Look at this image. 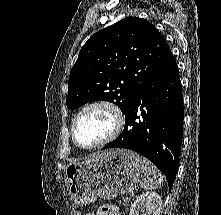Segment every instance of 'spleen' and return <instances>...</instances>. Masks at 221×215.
<instances>
[{"label": "spleen", "instance_id": "obj_1", "mask_svg": "<svg viewBox=\"0 0 221 215\" xmlns=\"http://www.w3.org/2000/svg\"><path fill=\"white\" fill-rule=\"evenodd\" d=\"M141 164L143 175L140 180V186L145 190L161 187L163 176L156 166L144 157L141 158Z\"/></svg>", "mask_w": 221, "mask_h": 215}]
</instances>
